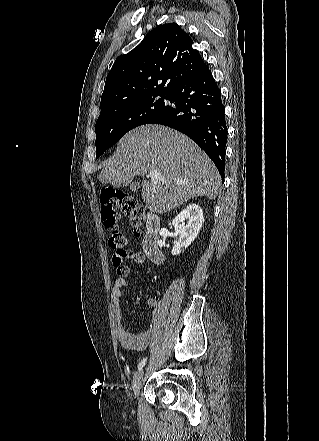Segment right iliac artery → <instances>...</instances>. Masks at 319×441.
I'll return each instance as SVG.
<instances>
[{
    "mask_svg": "<svg viewBox=\"0 0 319 441\" xmlns=\"http://www.w3.org/2000/svg\"><path fill=\"white\" fill-rule=\"evenodd\" d=\"M146 361H147V357L141 360V362L138 365V370H141L145 366Z\"/></svg>",
    "mask_w": 319,
    "mask_h": 441,
    "instance_id": "right-iliac-artery-1",
    "label": "right iliac artery"
}]
</instances>
